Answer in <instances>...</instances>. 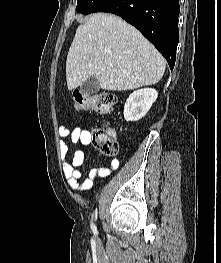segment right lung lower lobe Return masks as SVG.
I'll list each match as a JSON object with an SVG mask.
<instances>
[{
    "label": "right lung lower lobe",
    "instance_id": "right-lung-lower-lobe-1",
    "mask_svg": "<svg viewBox=\"0 0 221 263\" xmlns=\"http://www.w3.org/2000/svg\"><path fill=\"white\" fill-rule=\"evenodd\" d=\"M122 17L166 58L171 70L178 45L179 0H105L94 11Z\"/></svg>",
    "mask_w": 221,
    "mask_h": 263
}]
</instances>
